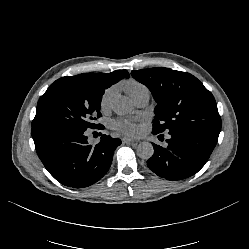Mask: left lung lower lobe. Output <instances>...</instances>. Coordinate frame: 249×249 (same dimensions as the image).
<instances>
[{
	"label": "left lung lower lobe",
	"instance_id": "obj_1",
	"mask_svg": "<svg viewBox=\"0 0 249 249\" xmlns=\"http://www.w3.org/2000/svg\"><path fill=\"white\" fill-rule=\"evenodd\" d=\"M154 135L160 134L153 128ZM220 131L181 127L169 131L167 145L153 144L154 154L148 159V167L167 180H181L197 173L212 153ZM163 140V135L158 136ZM161 140V141H162Z\"/></svg>",
	"mask_w": 249,
	"mask_h": 249
}]
</instances>
